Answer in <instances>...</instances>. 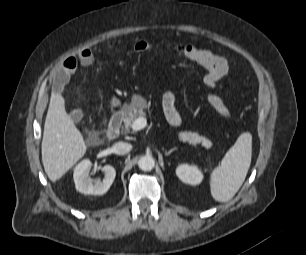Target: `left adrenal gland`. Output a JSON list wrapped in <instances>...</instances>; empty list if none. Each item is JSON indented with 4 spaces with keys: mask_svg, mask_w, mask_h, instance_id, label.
Returning a JSON list of instances; mask_svg holds the SVG:
<instances>
[{
    "mask_svg": "<svg viewBox=\"0 0 306 255\" xmlns=\"http://www.w3.org/2000/svg\"><path fill=\"white\" fill-rule=\"evenodd\" d=\"M177 148L174 147V148H171L169 151H165V156H169L172 152L176 151Z\"/></svg>",
    "mask_w": 306,
    "mask_h": 255,
    "instance_id": "obj_1",
    "label": "left adrenal gland"
}]
</instances>
